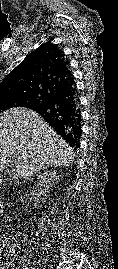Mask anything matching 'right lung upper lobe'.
<instances>
[{"label":"right lung upper lobe","instance_id":"cb5924a9","mask_svg":"<svg viewBox=\"0 0 118 269\" xmlns=\"http://www.w3.org/2000/svg\"><path fill=\"white\" fill-rule=\"evenodd\" d=\"M74 83L63 51L57 45L46 42L27 55L5 77L0 84V98L32 97L39 105Z\"/></svg>","mask_w":118,"mask_h":269}]
</instances>
